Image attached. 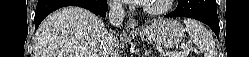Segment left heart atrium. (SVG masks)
Masks as SVG:
<instances>
[{
	"mask_svg": "<svg viewBox=\"0 0 249 57\" xmlns=\"http://www.w3.org/2000/svg\"><path fill=\"white\" fill-rule=\"evenodd\" d=\"M130 3H134L137 5H142V4H146L149 2V0H129Z\"/></svg>",
	"mask_w": 249,
	"mask_h": 57,
	"instance_id": "left-heart-atrium-1",
	"label": "left heart atrium"
}]
</instances>
